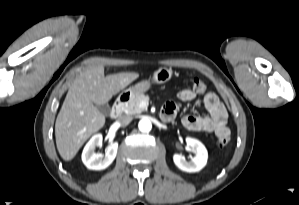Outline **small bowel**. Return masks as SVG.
<instances>
[{
  "label": "small bowel",
  "instance_id": "obj_1",
  "mask_svg": "<svg viewBox=\"0 0 299 205\" xmlns=\"http://www.w3.org/2000/svg\"><path fill=\"white\" fill-rule=\"evenodd\" d=\"M177 97L180 101L188 102L193 100L196 97V94L191 89H183L177 94ZM203 104L208 112V115H185L182 118L183 126L191 131L213 133L217 137L229 135L230 130L227 125L228 114L219 98L214 93L208 92L203 96ZM177 111L178 104L176 102L169 101L163 107L162 114H168L169 120H171L177 114Z\"/></svg>",
  "mask_w": 299,
  "mask_h": 205
}]
</instances>
